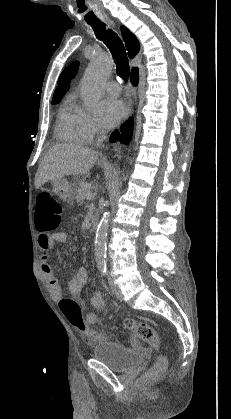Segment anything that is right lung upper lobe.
I'll list each match as a JSON object with an SVG mask.
<instances>
[{
    "label": "right lung upper lobe",
    "instance_id": "1",
    "mask_svg": "<svg viewBox=\"0 0 231 419\" xmlns=\"http://www.w3.org/2000/svg\"><path fill=\"white\" fill-rule=\"evenodd\" d=\"M122 37L124 39L128 55L130 58L135 57L140 49L137 38L125 27L121 26ZM79 63L75 62L68 66L60 75L58 79V87L54 92L53 99L62 97L66 90L69 89L70 81L75 77L78 70ZM134 69V68H133Z\"/></svg>",
    "mask_w": 231,
    "mask_h": 419
}]
</instances>
